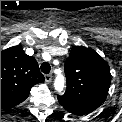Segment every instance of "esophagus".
I'll use <instances>...</instances> for the list:
<instances>
[{"mask_svg":"<svg viewBox=\"0 0 122 122\" xmlns=\"http://www.w3.org/2000/svg\"><path fill=\"white\" fill-rule=\"evenodd\" d=\"M52 81V75L51 74H48L45 76V82L46 83H50Z\"/></svg>","mask_w":122,"mask_h":122,"instance_id":"34e87169","label":"esophagus"}]
</instances>
